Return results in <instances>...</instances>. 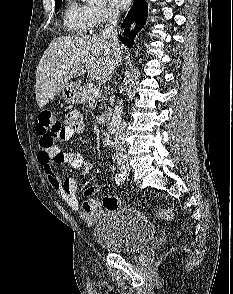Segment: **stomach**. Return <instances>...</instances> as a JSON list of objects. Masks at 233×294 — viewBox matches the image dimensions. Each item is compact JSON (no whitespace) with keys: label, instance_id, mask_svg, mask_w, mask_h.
Returning <instances> with one entry per match:
<instances>
[{"label":"stomach","instance_id":"obj_1","mask_svg":"<svg viewBox=\"0 0 233 294\" xmlns=\"http://www.w3.org/2000/svg\"><path fill=\"white\" fill-rule=\"evenodd\" d=\"M81 86L78 83L70 82L62 90V97L68 104L82 103Z\"/></svg>","mask_w":233,"mask_h":294}]
</instances>
